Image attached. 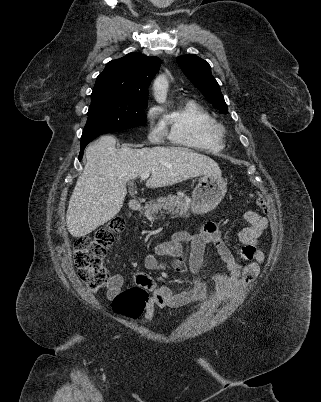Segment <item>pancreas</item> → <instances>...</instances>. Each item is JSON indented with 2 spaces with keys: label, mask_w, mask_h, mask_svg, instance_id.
Returning a JSON list of instances; mask_svg holds the SVG:
<instances>
[{
  "label": "pancreas",
  "mask_w": 321,
  "mask_h": 402,
  "mask_svg": "<svg viewBox=\"0 0 321 402\" xmlns=\"http://www.w3.org/2000/svg\"><path fill=\"white\" fill-rule=\"evenodd\" d=\"M191 200L181 196L168 195L166 197H159L156 200L149 202L144 207V214L147 218L155 220L158 218L159 213L163 215L171 213L176 217H189V208Z\"/></svg>",
  "instance_id": "cf45deb5"
}]
</instances>
